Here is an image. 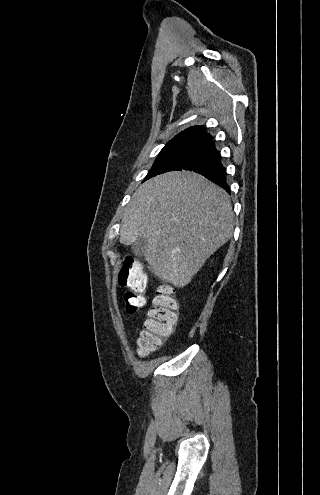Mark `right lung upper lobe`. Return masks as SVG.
<instances>
[{"instance_id":"obj_1","label":"right lung upper lobe","mask_w":320,"mask_h":495,"mask_svg":"<svg viewBox=\"0 0 320 495\" xmlns=\"http://www.w3.org/2000/svg\"><path fill=\"white\" fill-rule=\"evenodd\" d=\"M212 139V136L208 134L205 129L201 126H192L190 128L185 129L178 135H176L170 142L179 141V140H200L208 142Z\"/></svg>"}]
</instances>
